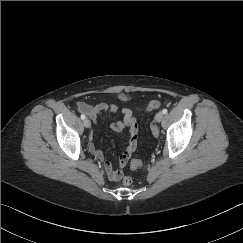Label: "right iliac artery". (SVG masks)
Returning <instances> with one entry per match:
<instances>
[{
	"label": "right iliac artery",
	"mask_w": 243,
	"mask_h": 243,
	"mask_svg": "<svg viewBox=\"0 0 243 243\" xmlns=\"http://www.w3.org/2000/svg\"><path fill=\"white\" fill-rule=\"evenodd\" d=\"M86 117L84 114L81 115V119L84 120Z\"/></svg>",
	"instance_id": "82829eb1"
}]
</instances>
